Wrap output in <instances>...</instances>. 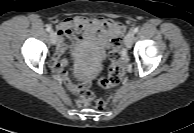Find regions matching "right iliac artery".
Here are the masks:
<instances>
[{
    "instance_id": "82829eb1",
    "label": "right iliac artery",
    "mask_w": 194,
    "mask_h": 133,
    "mask_svg": "<svg viewBox=\"0 0 194 133\" xmlns=\"http://www.w3.org/2000/svg\"><path fill=\"white\" fill-rule=\"evenodd\" d=\"M46 30H47L48 32H51V30H52V29H51V26L48 25V26L46 27Z\"/></svg>"
}]
</instances>
